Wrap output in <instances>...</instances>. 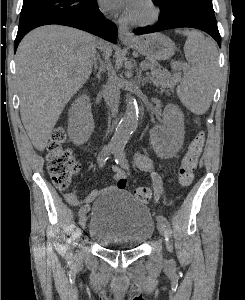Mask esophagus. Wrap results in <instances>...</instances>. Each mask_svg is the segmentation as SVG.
I'll return each instance as SVG.
<instances>
[{
    "mask_svg": "<svg viewBox=\"0 0 245 300\" xmlns=\"http://www.w3.org/2000/svg\"><path fill=\"white\" fill-rule=\"evenodd\" d=\"M118 36L121 42L134 41V36L126 25L118 26Z\"/></svg>",
    "mask_w": 245,
    "mask_h": 300,
    "instance_id": "obj_1",
    "label": "esophagus"
}]
</instances>
